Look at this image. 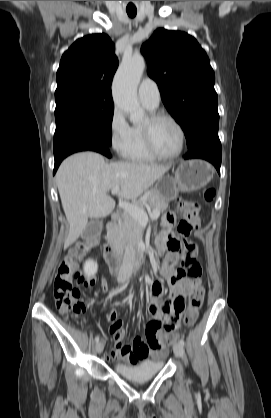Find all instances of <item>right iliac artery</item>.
Listing matches in <instances>:
<instances>
[{"mask_svg":"<svg viewBox=\"0 0 271 418\" xmlns=\"http://www.w3.org/2000/svg\"><path fill=\"white\" fill-rule=\"evenodd\" d=\"M95 342L97 343V342H99V336H96L95 337Z\"/></svg>","mask_w":271,"mask_h":418,"instance_id":"right-iliac-artery-1","label":"right iliac artery"}]
</instances>
